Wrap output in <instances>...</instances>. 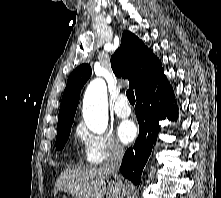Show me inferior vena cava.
I'll return each mask as SVG.
<instances>
[{
	"label": "inferior vena cava",
	"instance_id": "1",
	"mask_svg": "<svg viewBox=\"0 0 221 198\" xmlns=\"http://www.w3.org/2000/svg\"><path fill=\"white\" fill-rule=\"evenodd\" d=\"M124 155V149L119 146L115 145L109 152L103 168L109 172L120 184H123L118 173L120 164L122 161V157Z\"/></svg>",
	"mask_w": 221,
	"mask_h": 198
}]
</instances>
